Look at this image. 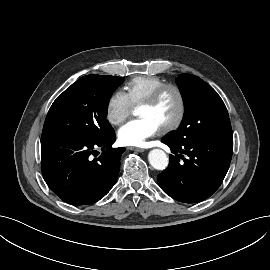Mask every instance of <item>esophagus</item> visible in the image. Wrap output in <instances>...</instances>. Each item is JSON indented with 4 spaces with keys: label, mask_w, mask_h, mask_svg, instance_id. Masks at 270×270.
<instances>
[{
    "label": "esophagus",
    "mask_w": 270,
    "mask_h": 270,
    "mask_svg": "<svg viewBox=\"0 0 270 270\" xmlns=\"http://www.w3.org/2000/svg\"><path fill=\"white\" fill-rule=\"evenodd\" d=\"M130 150L136 151V152H144L145 149L143 148H137V147H129Z\"/></svg>",
    "instance_id": "obj_1"
}]
</instances>
